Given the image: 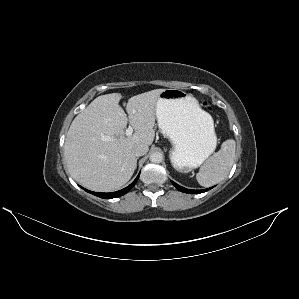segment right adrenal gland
Listing matches in <instances>:
<instances>
[{
  "label": "right adrenal gland",
  "mask_w": 299,
  "mask_h": 299,
  "mask_svg": "<svg viewBox=\"0 0 299 299\" xmlns=\"http://www.w3.org/2000/svg\"><path fill=\"white\" fill-rule=\"evenodd\" d=\"M139 158H136V164H135V167L137 166V160H138Z\"/></svg>",
  "instance_id": "right-adrenal-gland-1"
}]
</instances>
